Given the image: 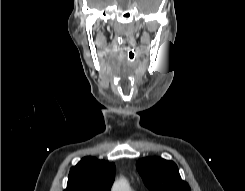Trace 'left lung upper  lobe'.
<instances>
[{"label":"left lung upper lobe","instance_id":"5c2ea615","mask_svg":"<svg viewBox=\"0 0 245 191\" xmlns=\"http://www.w3.org/2000/svg\"><path fill=\"white\" fill-rule=\"evenodd\" d=\"M139 174L151 191H190L189 185L180 177L173 161L160 157H146L136 163Z\"/></svg>","mask_w":245,"mask_h":191}]
</instances>
